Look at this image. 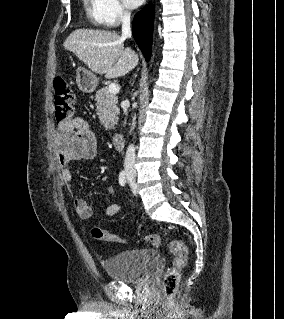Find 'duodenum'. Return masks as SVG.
Segmentation results:
<instances>
[{"label": "duodenum", "instance_id": "duodenum-1", "mask_svg": "<svg viewBox=\"0 0 284 319\" xmlns=\"http://www.w3.org/2000/svg\"><path fill=\"white\" fill-rule=\"evenodd\" d=\"M125 138L122 134L116 133L113 136V145L116 149H122L124 146Z\"/></svg>", "mask_w": 284, "mask_h": 319}]
</instances>
